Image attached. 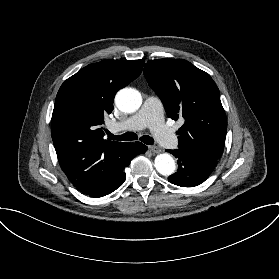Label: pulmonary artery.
Masks as SVG:
<instances>
[{"label": "pulmonary artery", "instance_id": "1", "mask_svg": "<svg viewBox=\"0 0 279 279\" xmlns=\"http://www.w3.org/2000/svg\"><path fill=\"white\" fill-rule=\"evenodd\" d=\"M165 111L161 105V100L156 95L146 97L144 104L135 116L114 119L110 123V129L114 133L121 131L150 127L153 134L160 139L162 145L170 150H175L179 146V141L173 136V129H169L161 122L164 119Z\"/></svg>", "mask_w": 279, "mask_h": 279}]
</instances>
